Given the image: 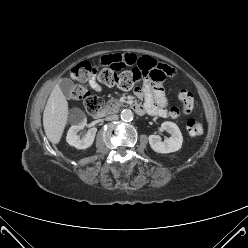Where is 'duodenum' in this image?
<instances>
[{"label": "duodenum", "mask_w": 248, "mask_h": 248, "mask_svg": "<svg viewBox=\"0 0 248 248\" xmlns=\"http://www.w3.org/2000/svg\"><path fill=\"white\" fill-rule=\"evenodd\" d=\"M132 109L137 113V114H143V108L139 104H132ZM106 112L105 110H100L99 112L94 114L95 119H101L105 116Z\"/></svg>", "instance_id": "1"}]
</instances>
